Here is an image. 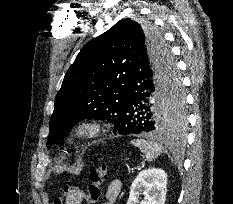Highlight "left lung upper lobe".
<instances>
[{
    "label": "left lung upper lobe",
    "instance_id": "obj_1",
    "mask_svg": "<svg viewBox=\"0 0 233 204\" xmlns=\"http://www.w3.org/2000/svg\"><path fill=\"white\" fill-rule=\"evenodd\" d=\"M141 48L149 49L153 57L162 54L161 70L171 79L174 59L163 37L150 25L122 19L84 45L56 95L47 147L83 119H107L114 124V133L119 132L120 106L128 92L133 62ZM184 105L179 80L160 104L158 120L161 131L185 124Z\"/></svg>",
    "mask_w": 233,
    "mask_h": 204
}]
</instances>
